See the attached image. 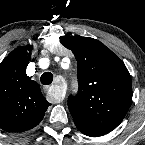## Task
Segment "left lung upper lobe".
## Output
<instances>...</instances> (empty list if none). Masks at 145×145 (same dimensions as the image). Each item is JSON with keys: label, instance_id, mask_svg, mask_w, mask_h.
I'll return each instance as SVG.
<instances>
[{"label": "left lung upper lobe", "instance_id": "obj_1", "mask_svg": "<svg viewBox=\"0 0 145 145\" xmlns=\"http://www.w3.org/2000/svg\"><path fill=\"white\" fill-rule=\"evenodd\" d=\"M77 60L79 90L68 99L77 128L104 135L115 129L132 101V83L124 63L103 43L88 37H60Z\"/></svg>", "mask_w": 145, "mask_h": 145}]
</instances>
